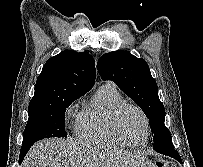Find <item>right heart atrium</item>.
Here are the masks:
<instances>
[{
  "label": "right heart atrium",
  "instance_id": "d8ad5b80",
  "mask_svg": "<svg viewBox=\"0 0 203 167\" xmlns=\"http://www.w3.org/2000/svg\"><path fill=\"white\" fill-rule=\"evenodd\" d=\"M75 109H76V104H75V103L71 104V105L68 107V109H67V114H68V115L72 114V112H73Z\"/></svg>",
  "mask_w": 203,
  "mask_h": 167
}]
</instances>
